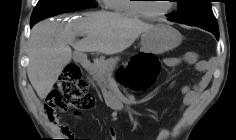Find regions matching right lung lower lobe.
Here are the masks:
<instances>
[{"label":"right lung lower lobe","instance_id":"obj_1","mask_svg":"<svg viewBox=\"0 0 236 140\" xmlns=\"http://www.w3.org/2000/svg\"><path fill=\"white\" fill-rule=\"evenodd\" d=\"M35 23H30V27H32Z\"/></svg>","mask_w":236,"mask_h":140}]
</instances>
